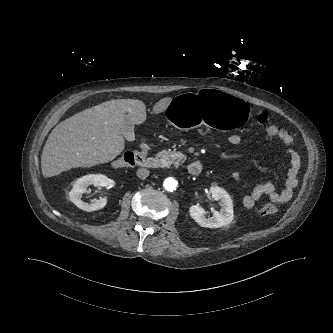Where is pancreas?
Returning <instances> with one entry per match:
<instances>
[{
    "label": "pancreas",
    "instance_id": "cf45deb5",
    "mask_svg": "<svg viewBox=\"0 0 333 333\" xmlns=\"http://www.w3.org/2000/svg\"><path fill=\"white\" fill-rule=\"evenodd\" d=\"M157 155L168 166H170L172 164H174L175 166H179L181 164V162H183L186 159V156L184 154H182L181 152L171 151L170 149L162 150Z\"/></svg>",
    "mask_w": 333,
    "mask_h": 333
}]
</instances>
